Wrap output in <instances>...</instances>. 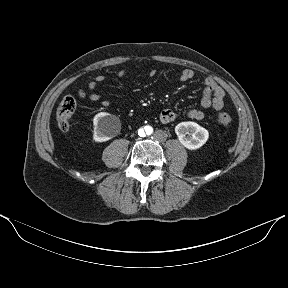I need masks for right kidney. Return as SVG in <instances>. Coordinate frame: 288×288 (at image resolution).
<instances>
[{
	"mask_svg": "<svg viewBox=\"0 0 288 288\" xmlns=\"http://www.w3.org/2000/svg\"><path fill=\"white\" fill-rule=\"evenodd\" d=\"M116 117L114 115L100 112L95 115L93 119L94 134L93 139L96 142H105L115 135L114 122Z\"/></svg>",
	"mask_w": 288,
	"mask_h": 288,
	"instance_id": "obj_1",
	"label": "right kidney"
}]
</instances>
